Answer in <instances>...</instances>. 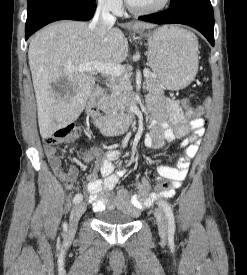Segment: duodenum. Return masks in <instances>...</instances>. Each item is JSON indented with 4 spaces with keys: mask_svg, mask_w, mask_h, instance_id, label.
Segmentation results:
<instances>
[{
    "mask_svg": "<svg viewBox=\"0 0 247 275\" xmlns=\"http://www.w3.org/2000/svg\"><path fill=\"white\" fill-rule=\"evenodd\" d=\"M104 91H95L86 108V114L105 135L116 136L124 133L138 118L136 110H129L123 115L101 114Z\"/></svg>",
    "mask_w": 247,
    "mask_h": 275,
    "instance_id": "1",
    "label": "duodenum"
}]
</instances>
